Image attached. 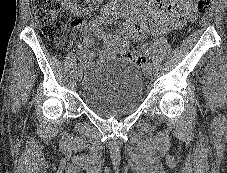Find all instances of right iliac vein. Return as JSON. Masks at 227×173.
Returning a JSON list of instances; mask_svg holds the SVG:
<instances>
[{
  "label": "right iliac vein",
  "instance_id": "obj_1",
  "mask_svg": "<svg viewBox=\"0 0 227 173\" xmlns=\"http://www.w3.org/2000/svg\"><path fill=\"white\" fill-rule=\"evenodd\" d=\"M83 75V68H80L77 72V80H81Z\"/></svg>",
  "mask_w": 227,
  "mask_h": 173
}]
</instances>
